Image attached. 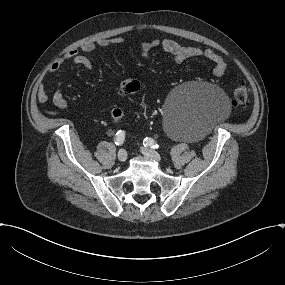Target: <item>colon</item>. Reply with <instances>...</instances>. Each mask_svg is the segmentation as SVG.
<instances>
[{"instance_id": "1", "label": "colon", "mask_w": 285, "mask_h": 285, "mask_svg": "<svg viewBox=\"0 0 285 285\" xmlns=\"http://www.w3.org/2000/svg\"><path fill=\"white\" fill-rule=\"evenodd\" d=\"M141 84L136 79H127L123 81L118 87V93L120 94H136L140 91ZM250 91L245 85L238 86L232 93L231 102L234 107H245L249 102ZM124 116L123 109L121 107H115L111 111V117L113 121L119 122Z\"/></svg>"}]
</instances>
